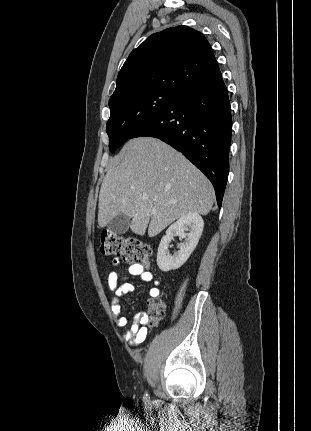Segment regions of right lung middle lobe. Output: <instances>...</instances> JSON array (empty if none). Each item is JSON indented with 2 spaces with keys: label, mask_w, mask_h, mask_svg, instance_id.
<instances>
[{
  "label": "right lung middle lobe",
  "mask_w": 311,
  "mask_h": 431,
  "mask_svg": "<svg viewBox=\"0 0 311 431\" xmlns=\"http://www.w3.org/2000/svg\"><path fill=\"white\" fill-rule=\"evenodd\" d=\"M178 96V93L162 90H139L110 98L111 115L106 131L111 152L119 148L139 127L165 109Z\"/></svg>",
  "instance_id": "obj_1"
}]
</instances>
